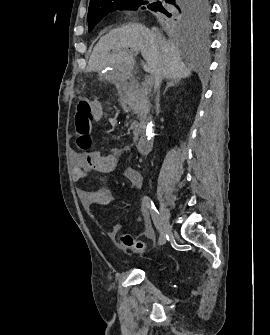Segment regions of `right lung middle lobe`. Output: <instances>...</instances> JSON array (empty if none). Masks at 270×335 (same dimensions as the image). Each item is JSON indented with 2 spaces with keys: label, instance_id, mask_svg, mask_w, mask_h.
<instances>
[{
  "label": "right lung middle lobe",
  "instance_id": "right-lung-middle-lobe-1",
  "mask_svg": "<svg viewBox=\"0 0 270 335\" xmlns=\"http://www.w3.org/2000/svg\"><path fill=\"white\" fill-rule=\"evenodd\" d=\"M210 0H168L164 6L158 1L151 3L147 0H118L98 7H89L88 25L89 31L98 24L108 13L120 9L137 10L150 9L159 12L158 19L167 27L173 29H194L205 26L209 13Z\"/></svg>",
  "mask_w": 270,
  "mask_h": 335
}]
</instances>
